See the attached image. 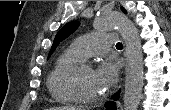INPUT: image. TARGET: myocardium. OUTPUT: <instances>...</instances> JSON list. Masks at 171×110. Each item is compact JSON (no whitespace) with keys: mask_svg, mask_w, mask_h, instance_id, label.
Listing matches in <instances>:
<instances>
[{"mask_svg":"<svg viewBox=\"0 0 171 110\" xmlns=\"http://www.w3.org/2000/svg\"><path fill=\"white\" fill-rule=\"evenodd\" d=\"M84 68H92L89 63L84 60L70 66L65 70L62 76L63 86L66 91L75 99V101L85 104H93L102 101L106 97V93L99 96H85L77 86V76Z\"/></svg>","mask_w":171,"mask_h":110,"instance_id":"obj_1","label":"myocardium"}]
</instances>
